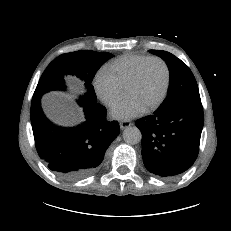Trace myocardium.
Returning <instances> with one entry per match:
<instances>
[{
	"label": "myocardium",
	"mask_w": 231,
	"mask_h": 231,
	"mask_svg": "<svg viewBox=\"0 0 231 231\" xmlns=\"http://www.w3.org/2000/svg\"><path fill=\"white\" fill-rule=\"evenodd\" d=\"M152 61H158L160 62L164 69H165V83H164V87L163 90L159 96V98L156 100V102H154L152 105H150L149 107H147L145 109V111L147 112H151L156 110L158 107H160V105L163 103V101L165 100L168 90H169V86H170V81H171V73H170V69L168 64L166 63V61L160 57H149L148 59H146L144 62H142L138 68L136 69L134 75L132 76V78L130 79L125 91L127 92L128 90H130L134 85L137 84V82L139 81V79L141 78V75L143 73V70L145 69V67L147 66V64H149Z\"/></svg>",
	"instance_id": "obj_1"
}]
</instances>
